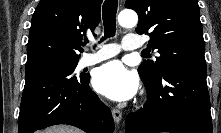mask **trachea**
I'll list each match as a JSON object with an SVG mask.
<instances>
[{
  "mask_svg": "<svg viewBox=\"0 0 221 133\" xmlns=\"http://www.w3.org/2000/svg\"><path fill=\"white\" fill-rule=\"evenodd\" d=\"M117 0H106L103 4L102 16L104 23V37L101 41H104L106 38L113 37L116 32V13H117ZM88 41L86 40L83 45ZM142 56H148L146 53H142Z\"/></svg>",
  "mask_w": 221,
  "mask_h": 133,
  "instance_id": "obj_1",
  "label": "trachea"
}]
</instances>
